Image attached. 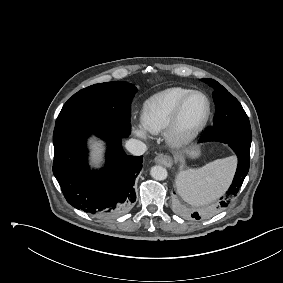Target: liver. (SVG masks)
Listing matches in <instances>:
<instances>
[{
    "label": "liver",
    "mask_w": 283,
    "mask_h": 283,
    "mask_svg": "<svg viewBox=\"0 0 283 283\" xmlns=\"http://www.w3.org/2000/svg\"><path fill=\"white\" fill-rule=\"evenodd\" d=\"M92 148V160L94 163H99L101 161V155L103 152V145L100 142L92 141L91 142Z\"/></svg>",
    "instance_id": "obj_1"
}]
</instances>
